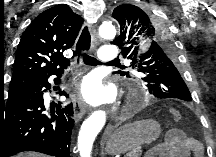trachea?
Returning a JSON list of instances; mask_svg holds the SVG:
<instances>
[{
	"label": "trachea",
	"mask_w": 216,
	"mask_h": 157,
	"mask_svg": "<svg viewBox=\"0 0 216 157\" xmlns=\"http://www.w3.org/2000/svg\"><path fill=\"white\" fill-rule=\"evenodd\" d=\"M85 43H90V33L87 29V27L83 30L82 35L80 37V48L82 49H86V47H84ZM83 61L85 64L87 65H97L100 64L101 62L98 61L97 59L87 55V54H83ZM109 63H113V62H109Z\"/></svg>",
	"instance_id": "3493384b"
}]
</instances>
